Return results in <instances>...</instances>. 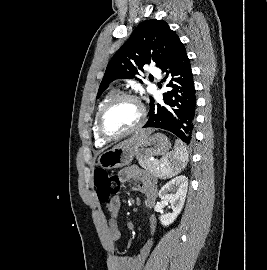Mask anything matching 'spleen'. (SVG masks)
Here are the masks:
<instances>
[{
	"label": "spleen",
	"instance_id": "obj_1",
	"mask_svg": "<svg viewBox=\"0 0 267 270\" xmlns=\"http://www.w3.org/2000/svg\"><path fill=\"white\" fill-rule=\"evenodd\" d=\"M187 162L188 152L186 147L180 140H176L174 151L161 160L160 176L166 178L177 175L185 168Z\"/></svg>",
	"mask_w": 267,
	"mask_h": 270
}]
</instances>
